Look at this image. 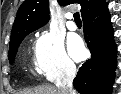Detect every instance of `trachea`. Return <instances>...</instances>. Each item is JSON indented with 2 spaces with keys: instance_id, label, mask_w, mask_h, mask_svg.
<instances>
[{
  "instance_id": "1",
  "label": "trachea",
  "mask_w": 121,
  "mask_h": 94,
  "mask_svg": "<svg viewBox=\"0 0 121 94\" xmlns=\"http://www.w3.org/2000/svg\"><path fill=\"white\" fill-rule=\"evenodd\" d=\"M74 20L75 22H81L80 15L78 12L74 13Z\"/></svg>"
}]
</instances>
